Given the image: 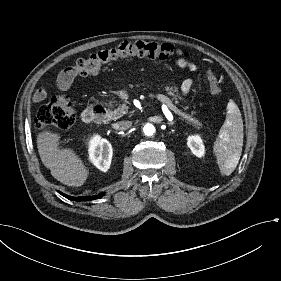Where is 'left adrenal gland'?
Here are the masks:
<instances>
[{
  "label": "left adrenal gland",
  "mask_w": 281,
  "mask_h": 281,
  "mask_svg": "<svg viewBox=\"0 0 281 281\" xmlns=\"http://www.w3.org/2000/svg\"><path fill=\"white\" fill-rule=\"evenodd\" d=\"M175 122L172 121V122H168V125H173Z\"/></svg>",
  "instance_id": "obj_1"
}]
</instances>
